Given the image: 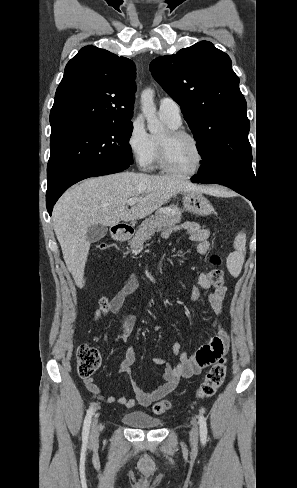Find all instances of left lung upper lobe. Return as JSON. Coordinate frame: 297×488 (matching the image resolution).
Returning <instances> with one entry per match:
<instances>
[{"label":"left lung upper lobe","mask_w":297,"mask_h":488,"mask_svg":"<svg viewBox=\"0 0 297 488\" xmlns=\"http://www.w3.org/2000/svg\"><path fill=\"white\" fill-rule=\"evenodd\" d=\"M154 79L181 107L203 157L196 176L232 177L255 187L250 122L230 57L201 41L150 64Z\"/></svg>","instance_id":"1"}]
</instances>
